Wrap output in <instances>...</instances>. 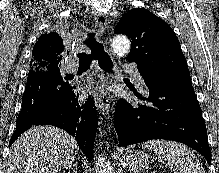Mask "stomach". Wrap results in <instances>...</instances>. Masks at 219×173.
Listing matches in <instances>:
<instances>
[{"instance_id": "obj_1", "label": "stomach", "mask_w": 219, "mask_h": 173, "mask_svg": "<svg viewBox=\"0 0 219 173\" xmlns=\"http://www.w3.org/2000/svg\"><path fill=\"white\" fill-rule=\"evenodd\" d=\"M151 158L144 151L127 149L121 154V165L133 173H141L148 169Z\"/></svg>"}]
</instances>
